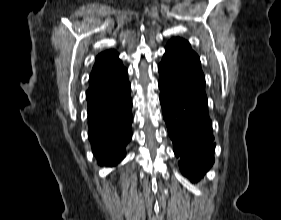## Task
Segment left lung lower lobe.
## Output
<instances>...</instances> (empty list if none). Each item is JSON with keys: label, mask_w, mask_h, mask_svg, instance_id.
<instances>
[{"label": "left lung lower lobe", "mask_w": 281, "mask_h": 220, "mask_svg": "<svg viewBox=\"0 0 281 220\" xmlns=\"http://www.w3.org/2000/svg\"><path fill=\"white\" fill-rule=\"evenodd\" d=\"M160 103L183 175L201 178L214 163V137L208 115L205 76L199 56L166 51L158 65Z\"/></svg>", "instance_id": "1"}]
</instances>
